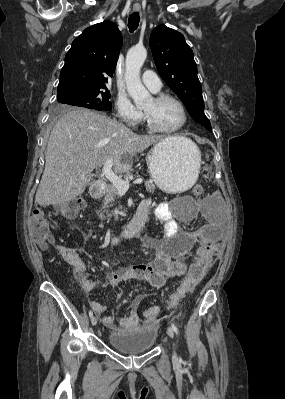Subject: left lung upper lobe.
<instances>
[{
	"label": "left lung upper lobe",
	"mask_w": 285,
	"mask_h": 399,
	"mask_svg": "<svg viewBox=\"0 0 285 399\" xmlns=\"http://www.w3.org/2000/svg\"><path fill=\"white\" fill-rule=\"evenodd\" d=\"M149 45L161 78L184 103L190 116L211 131L210 121L204 114L202 87L193 51L184 36L160 25L152 31Z\"/></svg>",
	"instance_id": "obj_1"
}]
</instances>
